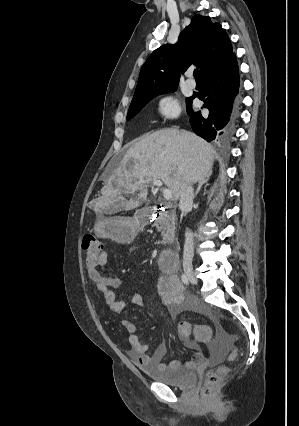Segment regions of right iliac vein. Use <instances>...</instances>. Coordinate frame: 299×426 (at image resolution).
<instances>
[{
  "label": "right iliac vein",
  "instance_id": "obj_1",
  "mask_svg": "<svg viewBox=\"0 0 299 426\" xmlns=\"http://www.w3.org/2000/svg\"><path fill=\"white\" fill-rule=\"evenodd\" d=\"M184 271H185V274L187 275V277L189 278V280L192 283H197V279L195 278L193 270H192V268L190 266L185 265L184 266Z\"/></svg>",
  "mask_w": 299,
  "mask_h": 426
}]
</instances>
